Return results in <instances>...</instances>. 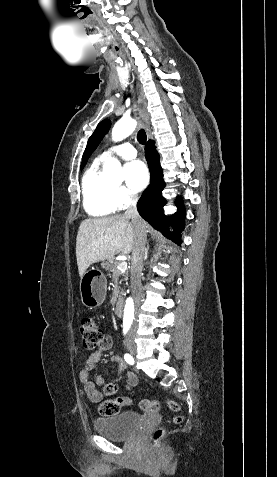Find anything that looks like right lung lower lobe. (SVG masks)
<instances>
[{"label": "right lung lower lobe", "mask_w": 277, "mask_h": 477, "mask_svg": "<svg viewBox=\"0 0 277 477\" xmlns=\"http://www.w3.org/2000/svg\"><path fill=\"white\" fill-rule=\"evenodd\" d=\"M145 156L148 162L151 183L143 192L137 203V209L141 217L148 221L155 229L164 235L180 243L178 236L184 229L185 210L180 199L176 201L178 211L172 216L167 217L163 213V206L166 200L162 196V190L165 187L162 168L160 166V156L156 151L154 141H149L145 148ZM173 225L174 232H169V226Z\"/></svg>", "instance_id": "1"}]
</instances>
